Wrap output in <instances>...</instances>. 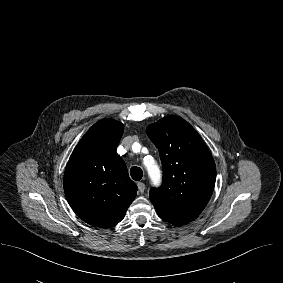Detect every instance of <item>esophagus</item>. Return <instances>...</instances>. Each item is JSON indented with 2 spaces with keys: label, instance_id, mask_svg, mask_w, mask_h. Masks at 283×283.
<instances>
[{
  "label": "esophagus",
  "instance_id": "esophagus-1",
  "mask_svg": "<svg viewBox=\"0 0 283 283\" xmlns=\"http://www.w3.org/2000/svg\"><path fill=\"white\" fill-rule=\"evenodd\" d=\"M137 186H138V191L142 194V193H144V191H145V184L143 183V182H138L137 183Z\"/></svg>",
  "mask_w": 283,
  "mask_h": 283
}]
</instances>
